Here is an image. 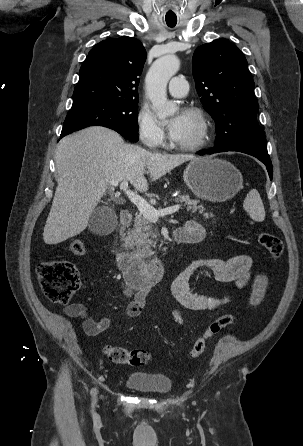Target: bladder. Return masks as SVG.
<instances>
[{
    "label": "bladder",
    "mask_w": 303,
    "mask_h": 446,
    "mask_svg": "<svg viewBox=\"0 0 303 446\" xmlns=\"http://www.w3.org/2000/svg\"><path fill=\"white\" fill-rule=\"evenodd\" d=\"M128 388L150 394H164L170 391L172 383L164 374L150 373L146 371L131 372L125 381Z\"/></svg>",
    "instance_id": "1"
}]
</instances>
